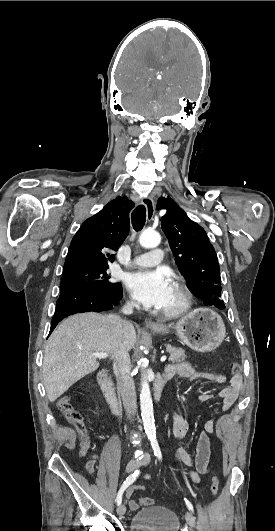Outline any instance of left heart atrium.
I'll use <instances>...</instances> for the list:
<instances>
[{"mask_svg":"<svg viewBox=\"0 0 275 531\" xmlns=\"http://www.w3.org/2000/svg\"><path fill=\"white\" fill-rule=\"evenodd\" d=\"M126 285L137 301L147 307L160 308L172 285L165 269H144L126 276Z\"/></svg>","mask_w":275,"mask_h":531,"instance_id":"obj_1","label":"left heart atrium"}]
</instances>
